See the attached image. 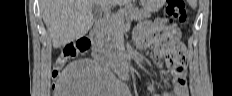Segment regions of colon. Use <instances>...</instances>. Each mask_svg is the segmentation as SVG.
<instances>
[{"label":"colon","instance_id":"1","mask_svg":"<svg viewBox=\"0 0 232 96\" xmlns=\"http://www.w3.org/2000/svg\"><path fill=\"white\" fill-rule=\"evenodd\" d=\"M165 15L167 17L166 23L168 24L170 22L174 28L172 30L168 28L167 30L170 33L168 35H164V41L171 42V44L162 46L159 51L162 52V56L166 57L172 63V66L175 68V72L180 73L183 71V67L178 65L176 61L177 55L179 54V48L175 44V40L180 35V26L188 19V12L184 1L167 0ZM160 21L161 20H158L157 23ZM89 46L90 42L86 38H80L75 42L66 43L62 47L61 52L57 56L53 65V76L56 77L58 75L66 61L75 58L78 55L85 54L88 51Z\"/></svg>","mask_w":232,"mask_h":96}]
</instances>
